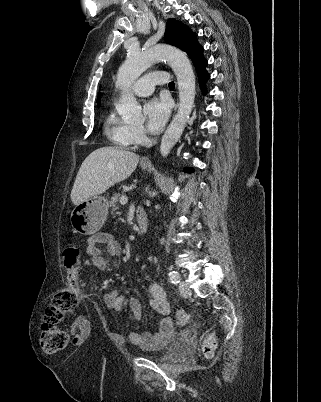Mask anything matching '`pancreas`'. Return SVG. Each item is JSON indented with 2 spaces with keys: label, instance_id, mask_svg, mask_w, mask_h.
Wrapping results in <instances>:
<instances>
[{
  "label": "pancreas",
  "instance_id": "obj_1",
  "mask_svg": "<svg viewBox=\"0 0 321 402\" xmlns=\"http://www.w3.org/2000/svg\"><path fill=\"white\" fill-rule=\"evenodd\" d=\"M120 198V194H114L109 202V206L111 208V213L114 214L117 209V202Z\"/></svg>",
  "mask_w": 321,
  "mask_h": 402
}]
</instances>
